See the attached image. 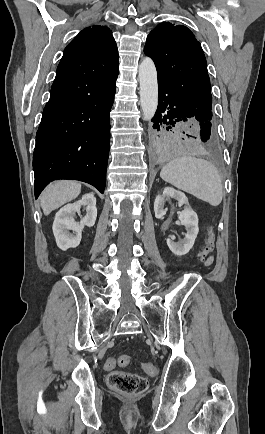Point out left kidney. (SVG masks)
I'll return each instance as SVG.
<instances>
[{"instance_id":"left-kidney-1","label":"left kidney","mask_w":265,"mask_h":434,"mask_svg":"<svg viewBox=\"0 0 265 434\" xmlns=\"http://www.w3.org/2000/svg\"><path fill=\"white\" fill-rule=\"evenodd\" d=\"M170 198H174L180 206L185 204V210L181 212L179 220L182 226H185L187 234H184V240H181L178 244H175V242H172V240L168 238L167 246L175 256H185V254H188L189 250H191L192 246H194L199 232L197 214L190 208L188 198H186L183 192H178V190H174V188H164L163 194L157 196L154 202L155 218H163V216H165L166 210H164V204L168 202Z\"/></svg>"}]
</instances>
